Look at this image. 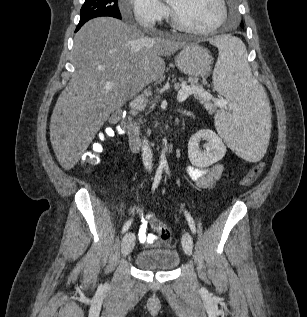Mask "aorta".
<instances>
[{
    "label": "aorta",
    "mask_w": 307,
    "mask_h": 317,
    "mask_svg": "<svg viewBox=\"0 0 307 317\" xmlns=\"http://www.w3.org/2000/svg\"><path fill=\"white\" fill-rule=\"evenodd\" d=\"M163 145H164V147H163L161 154H160L159 165L165 167V166H167V158H166L167 139L166 138L163 139Z\"/></svg>",
    "instance_id": "762f6f07"
}]
</instances>
